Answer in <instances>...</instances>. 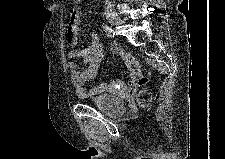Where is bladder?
Here are the masks:
<instances>
[{"label":"bladder","mask_w":225,"mask_h":159,"mask_svg":"<svg viewBox=\"0 0 225 159\" xmlns=\"http://www.w3.org/2000/svg\"><path fill=\"white\" fill-rule=\"evenodd\" d=\"M82 97L83 101L86 103L113 116H119L126 110L125 101L118 96H112L93 90L89 93H85Z\"/></svg>","instance_id":"31cf9c89"}]
</instances>
